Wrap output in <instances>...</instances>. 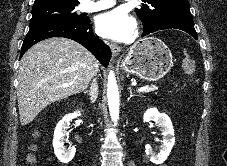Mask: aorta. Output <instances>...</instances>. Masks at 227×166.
Listing matches in <instances>:
<instances>
[{"mask_svg":"<svg viewBox=\"0 0 227 166\" xmlns=\"http://www.w3.org/2000/svg\"><path fill=\"white\" fill-rule=\"evenodd\" d=\"M107 97L111 119L116 123L119 119V91L113 71L108 76Z\"/></svg>","mask_w":227,"mask_h":166,"instance_id":"aorta-1","label":"aorta"}]
</instances>
